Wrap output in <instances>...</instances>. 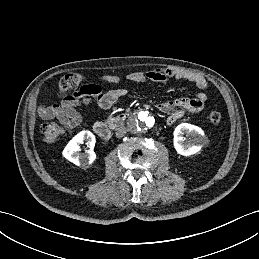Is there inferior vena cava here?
Wrapping results in <instances>:
<instances>
[{"label":"inferior vena cava","instance_id":"obj_1","mask_svg":"<svg viewBox=\"0 0 259 259\" xmlns=\"http://www.w3.org/2000/svg\"><path fill=\"white\" fill-rule=\"evenodd\" d=\"M127 128H125V127H118L117 129H116V137L117 138H121V137H123L126 133H127Z\"/></svg>","mask_w":259,"mask_h":259}]
</instances>
